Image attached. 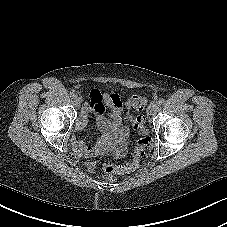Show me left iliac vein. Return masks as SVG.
<instances>
[{"instance_id":"4c4485c4","label":"left iliac vein","mask_w":227,"mask_h":227,"mask_svg":"<svg viewBox=\"0 0 227 227\" xmlns=\"http://www.w3.org/2000/svg\"><path fill=\"white\" fill-rule=\"evenodd\" d=\"M158 108H159V104L153 103L149 108L150 115H154L157 112Z\"/></svg>"}]
</instances>
